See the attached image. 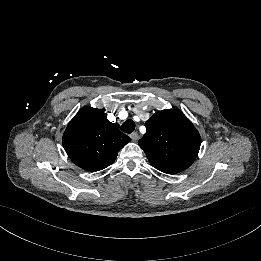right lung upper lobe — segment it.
<instances>
[{
	"instance_id": "obj_1",
	"label": "right lung upper lobe",
	"mask_w": 261,
	"mask_h": 261,
	"mask_svg": "<svg viewBox=\"0 0 261 261\" xmlns=\"http://www.w3.org/2000/svg\"><path fill=\"white\" fill-rule=\"evenodd\" d=\"M130 138L111 123L100 109L85 106L68 124L63 146L70 159L88 171H99L114 162Z\"/></svg>"
}]
</instances>
